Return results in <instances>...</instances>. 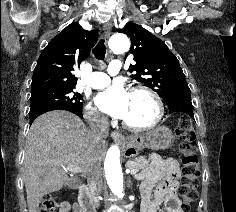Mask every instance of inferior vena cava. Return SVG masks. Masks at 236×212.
<instances>
[{
	"mask_svg": "<svg viewBox=\"0 0 236 212\" xmlns=\"http://www.w3.org/2000/svg\"><path fill=\"white\" fill-rule=\"evenodd\" d=\"M91 134L93 136V142L95 144L103 141L109 134V123L106 117L94 115L90 125ZM87 182L90 188L91 195L98 206V196L102 189L103 179L100 165L97 163H91L88 171Z\"/></svg>",
	"mask_w": 236,
	"mask_h": 212,
	"instance_id": "602c4592",
	"label": "inferior vena cava"
}]
</instances>
